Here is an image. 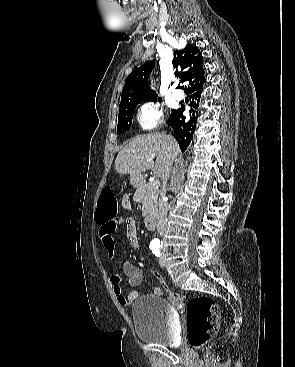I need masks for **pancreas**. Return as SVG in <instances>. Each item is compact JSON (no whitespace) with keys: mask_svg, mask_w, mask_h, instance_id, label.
<instances>
[{"mask_svg":"<svg viewBox=\"0 0 295 367\" xmlns=\"http://www.w3.org/2000/svg\"><path fill=\"white\" fill-rule=\"evenodd\" d=\"M158 194V188H155L152 183H144L142 186L137 188L135 199L142 203L143 217L156 212Z\"/></svg>","mask_w":295,"mask_h":367,"instance_id":"cf45deb5","label":"pancreas"}]
</instances>
